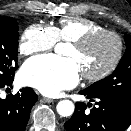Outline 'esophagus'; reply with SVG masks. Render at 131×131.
<instances>
[{
  "label": "esophagus",
  "mask_w": 131,
  "mask_h": 131,
  "mask_svg": "<svg viewBox=\"0 0 131 131\" xmlns=\"http://www.w3.org/2000/svg\"><path fill=\"white\" fill-rule=\"evenodd\" d=\"M42 99L44 102H47V103L54 102V99H51V98L43 97Z\"/></svg>",
  "instance_id": "obj_1"
}]
</instances>
